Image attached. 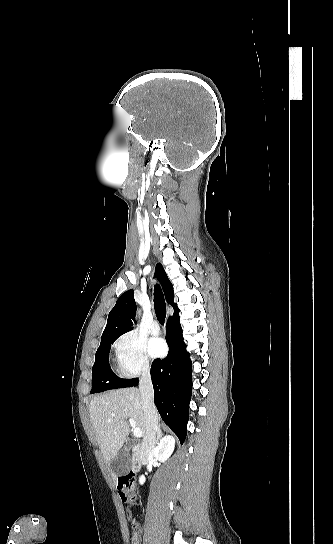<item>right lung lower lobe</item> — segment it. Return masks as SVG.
Instances as JSON below:
<instances>
[{"label":"right lung lower lobe","instance_id":"1","mask_svg":"<svg viewBox=\"0 0 333 544\" xmlns=\"http://www.w3.org/2000/svg\"><path fill=\"white\" fill-rule=\"evenodd\" d=\"M166 329L169 353L162 360L155 359L151 367L154 400L163 421L183 443L192 391L191 361L185 350L178 313L169 317ZM137 385L138 380L129 387Z\"/></svg>","mask_w":333,"mask_h":544}]
</instances>
